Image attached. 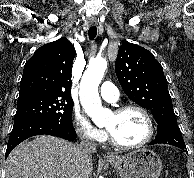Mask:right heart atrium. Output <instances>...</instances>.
<instances>
[{"label": "right heart atrium", "mask_w": 194, "mask_h": 178, "mask_svg": "<svg viewBox=\"0 0 194 178\" xmlns=\"http://www.w3.org/2000/svg\"><path fill=\"white\" fill-rule=\"evenodd\" d=\"M73 123L77 135L85 142L98 144L106 139V133L93 126L81 112L74 114Z\"/></svg>", "instance_id": "obj_1"}]
</instances>
